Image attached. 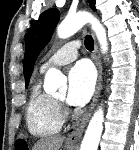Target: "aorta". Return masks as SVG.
<instances>
[{
	"mask_svg": "<svg viewBox=\"0 0 139 150\" xmlns=\"http://www.w3.org/2000/svg\"><path fill=\"white\" fill-rule=\"evenodd\" d=\"M86 23L91 24V28L96 34L100 43L101 51L105 54L108 50L106 30L100 21L88 12H78L68 15L57 28L59 38H68L80 30ZM44 89L48 93H53L57 89L61 93L67 90L65 77L56 69H50L45 76ZM104 112L102 107L92 116L85 132L80 150H97L103 131Z\"/></svg>",
	"mask_w": 139,
	"mask_h": 150,
	"instance_id": "obj_1",
	"label": "aorta"
}]
</instances>
